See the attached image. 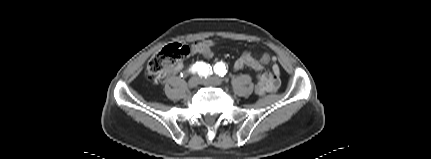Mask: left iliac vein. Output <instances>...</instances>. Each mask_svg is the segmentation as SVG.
<instances>
[{"mask_svg":"<svg viewBox=\"0 0 431 159\" xmlns=\"http://www.w3.org/2000/svg\"><path fill=\"white\" fill-rule=\"evenodd\" d=\"M200 82L203 85H210V86H219L222 84V80L217 76L203 78L200 80Z\"/></svg>","mask_w":431,"mask_h":159,"instance_id":"1","label":"left iliac vein"}]
</instances>
